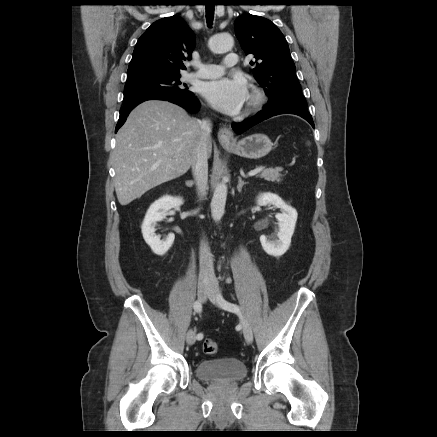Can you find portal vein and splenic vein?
<instances>
[{
    "mask_svg": "<svg viewBox=\"0 0 437 437\" xmlns=\"http://www.w3.org/2000/svg\"><path fill=\"white\" fill-rule=\"evenodd\" d=\"M262 171V168H256L248 173V176H254Z\"/></svg>",
    "mask_w": 437,
    "mask_h": 437,
    "instance_id": "obj_1",
    "label": "portal vein and splenic vein"
}]
</instances>
